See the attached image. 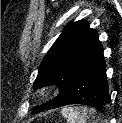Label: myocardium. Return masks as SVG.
<instances>
[{
	"label": "myocardium",
	"mask_w": 122,
	"mask_h": 123,
	"mask_svg": "<svg viewBox=\"0 0 122 123\" xmlns=\"http://www.w3.org/2000/svg\"><path fill=\"white\" fill-rule=\"evenodd\" d=\"M55 93V87L53 85H47L42 88L41 94L44 97H50Z\"/></svg>",
	"instance_id": "f54148a6"
}]
</instances>
